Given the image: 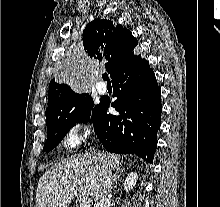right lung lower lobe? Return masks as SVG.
<instances>
[{"instance_id":"98d812e1","label":"right lung lower lobe","mask_w":220,"mask_h":207,"mask_svg":"<svg viewBox=\"0 0 220 207\" xmlns=\"http://www.w3.org/2000/svg\"><path fill=\"white\" fill-rule=\"evenodd\" d=\"M119 115L107 114L110 101L102 99L92 115L95 133L110 152L136 154L152 163L161 125V92L148 61L133 55L114 73Z\"/></svg>"}]
</instances>
